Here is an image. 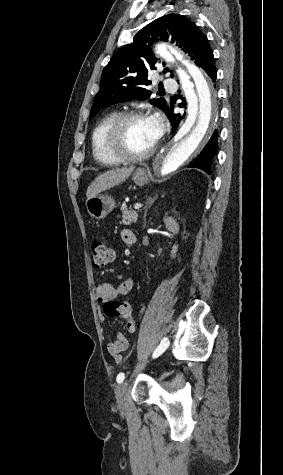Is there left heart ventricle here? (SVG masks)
<instances>
[{
  "mask_svg": "<svg viewBox=\"0 0 283 475\" xmlns=\"http://www.w3.org/2000/svg\"><path fill=\"white\" fill-rule=\"evenodd\" d=\"M153 133L154 129L149 117L134 119L125 127L121 143L109 146L106 153L111 158L143 155L157 142Z\"/></svg>",
  "mask_w": 283,
  "mask_h": 475,
  "instance_id": "b2bd125f",
  "label": "left heart ventricle"
}]
</instances>
